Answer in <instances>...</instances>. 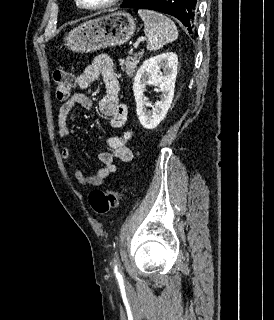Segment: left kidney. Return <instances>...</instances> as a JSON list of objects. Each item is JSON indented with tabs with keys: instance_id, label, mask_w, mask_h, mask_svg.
<instances>
[{
	"instance_id": "left-kidney-1",
	"label": "left kidney",
	"mask_w": 274,
	"mask_h": 320,
	"mask_svg": "<svg viewBox=\"0 0 274 320\" xmlns=\"http://www.w3.org/2000/svg\"><path fill=\"white\" fill-rule=\"evenodd\" d=\"M177 68L178 56L174 52H166V54L149 58L140 66L134 78L133 94L138 120L146 130H154L164 120L172 104ZM147 84L157 86L161 92L159 102H156L150 112L146 108L147 98L143 96Z\"/></svg>"
}]
</instances>
